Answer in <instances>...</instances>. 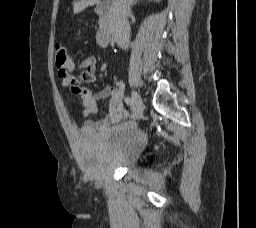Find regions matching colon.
<instances>
[{
    "label": "colon",
    "mask_w": 256,
    "mask_h": 228,
    "mask_svg": "<svg viewBox=\"0 0 256 228\" xmlns=\"http://www.w3.org/2000/svg\"><path fill=\"white\" fill-rule=\"evenodd\" d=\"M69 54L66 50V48L62 44L56 45L55 50V61L57 66H62L65 64L69 59Z\"/></svg>",
    "instance_id": "5ec220e1"
}]
</instances>
